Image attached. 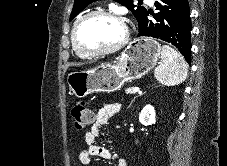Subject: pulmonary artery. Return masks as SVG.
<instances>
[{
	"label": "pulmonary artery",
	"mask_w": 227,
	"mask_h": 166,
	"mask_svg": "<svg viewBox=\"0 0 227 166\" xmlns=\"http://www.w3.org/2000/svg\"><path fill=\"white\" fill-rule=\"evenodd\" d=\"M150 6L154 5V0H145Z\"/></svg>",
	"instance_id": "pulmonary-artery-1"
}]
</instances>
